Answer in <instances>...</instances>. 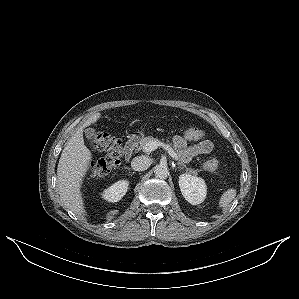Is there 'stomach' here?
I'll use <instances>...</instances> for the list:
<instances>
[{
  "instance_id": "obj_1",
  "label": "stomach",
  "mask_w": 299,
  "mask_h": 299,
  "mask_svg": "<svg viewBox=\"0 0 299 299\" xmlns=\"http://www.w3.org/2000/svg\"><path fill=\"white\" fill-rule=\"evenodd\" d=\"M132 136H133V137L140 138V137H141V134H140V133H137V134H133Z\"/></svg>"
}]
</instances>
